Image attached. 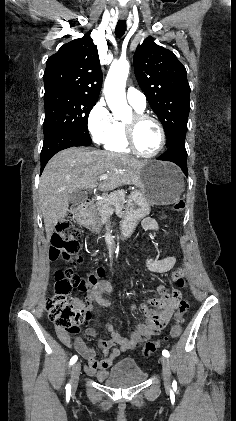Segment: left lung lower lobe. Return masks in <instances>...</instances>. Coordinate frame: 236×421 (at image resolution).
<instances>
[{
  "mask_svg": "<svg viewBox=\"0 0 236 421\" xmlns=\"http://www.w3.org/2000/svg\"><path fill=\"white\" fill-rule=\"evenodd\" d=\"M157 159L163 161H170L177 164L187 176V152L185 149L184 140L176 141L174 144L168 147V150L163 155H161Z\"/></svg>",
  "mask_w": 236,
  "mask_h": 421,
  "instance_id": "obj_1",
  "label": "left lung lower lobe"
}]
</instances>
